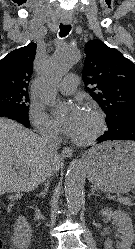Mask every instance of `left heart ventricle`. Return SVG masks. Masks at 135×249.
<instances>
[{
    "instance_id": "1",
    "label": "left heart ventricle",
    "mask_w": 135,
    "mask_h": 249,
    "mask_svg": "<svg viewBox=\"0 0 135 249\" xmlns=\"http://www.w3.org/2000/svg\"><path fill=\"white\" fill-rule=\"evenodd\" d=\"M96 128V119L94 115L89 111L85 110L82 122L74 134L76 138H85L89 136Z\"/></svg>"
}]
</instances>
